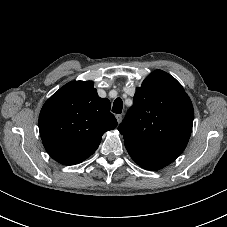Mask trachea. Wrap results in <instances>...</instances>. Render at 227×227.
<instances>
[{"instance_id": "trachea-1", "label": "trachea", "mask_w": 227, "mask_h": 227, "mask_svg": "<svg viewBox=\"0 0 227 227\" xmlns=\"http://www.w3.org/2000/svg\"><path fill=\"white\" fill-rule=\"evenodd\" d=\"M122 106H123L122 99L116 98L113 103L112 112L116 114H120L122 112Z\"/></svg>"}]
</instances>
